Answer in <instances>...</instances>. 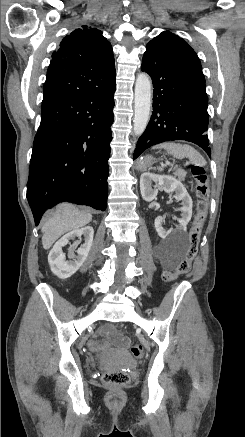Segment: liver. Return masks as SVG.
I'll return each mask as SVG.
<instances>
[{"mask_svg":"<svg viewBox=\"0 0 245 437\" xmlns=\"http://www.w3.org/2000/svg\"><path fill=\"white\" fill-rule=\"evenodd\" d=\"M92 220L88 212L78 210L74 205L64 203L56 207L55 212L42 227V245L45 250L63 234L87 225Z\"/></svg>","mask_w":245,"mask_h":437,"instance_id":"6515ba94","label":"liver"}]
</instances>
